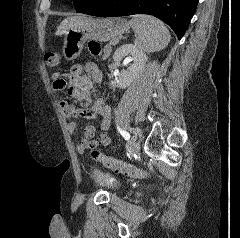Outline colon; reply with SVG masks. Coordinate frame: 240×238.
Here are the masks:
<instances>
[{"label": "colon", "instance_id": "colon-1", "mask_svg": "<svg viewBox=\"0 0 240 238\" xmlns=\"http://www.w3.org/2000/svg\"><path fill=\"white\" fill-rule=\"evenodd\" d=\"M87 48L93 55H99L101 52L100 44L97 41H89L87 43ZM59 61L60 55L56 52H48L44 56V62L48 67L56 66ZM91 156L94 160L102 163L105 167L118 173L135 178H142L147 175L146 171L143 169L110 156H106L96 149L91 152Z\"/></svg>", "mask_w": 240, "mask_h": 238}]
</instances>
